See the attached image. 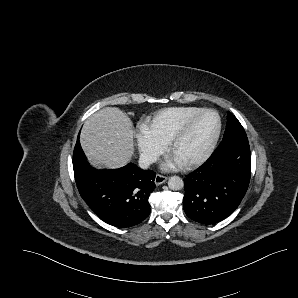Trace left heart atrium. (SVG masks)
<instances>
[{"label":"left heart atrium","mask_w":298,"mask_h":298,"mask_svg":"<svg viewBox=\"0 0 298 298\" xmlns=\"http://www.w3.org/2000/svg\"><path fill=\"white\" fill-rule=\"evenodd\" d=\"M184 165L183 162L174 159L172 157L166 159L165 161L161 162V168L163 170H175L176 168L182 167Z\"/></svg>","instance_id":"left-heart-atrium-1"}]
</instances>
